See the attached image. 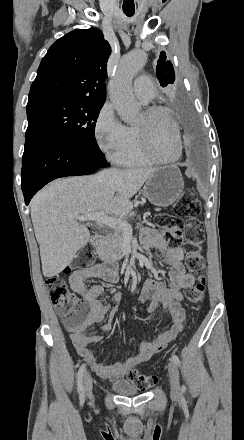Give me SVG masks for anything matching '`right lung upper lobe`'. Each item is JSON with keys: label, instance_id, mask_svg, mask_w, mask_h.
<instances>
[{"label": "right lung upper lobe", "instance_id": "cb5924a9", "mask_svg": "<svg viewBox=\"0 0 244 440\" xmlns=\"http://www.w3.org/2000/svg\"><path fill=\"white\" fill-rule=\"evenodd\" d=\"M111 47L95 28L76 29L58 39L42 59L29 100L88 98L105 100Z\"/></svg>", "mask_w": 244, "mask_h": 440}]
</instances>
